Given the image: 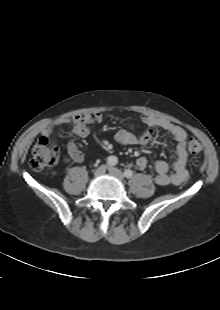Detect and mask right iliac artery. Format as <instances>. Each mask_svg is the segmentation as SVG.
Returning <instances> with one entry per match:
<instances>
[{
    "mask_svg": "<svg viewBox=\"0 0 220 310\" xmlns=\"http://www.w3.org/2000/svg\"><path fill=\"white\" fill-rule=\"evenodd\" d=\"M118 162L117 158L115 156H109L107 158V164L110 165V166H114L116 165Z\"/></svg>",
    "mask_w": 220,
    "mask_h": 310,
    "instance_id": "82829eb1",
    "label": "right iliac artery"
}]
</instances>
